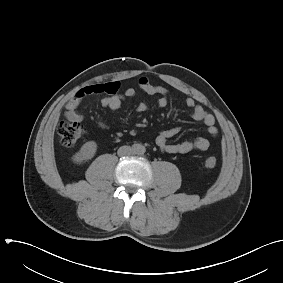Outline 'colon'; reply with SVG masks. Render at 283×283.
I'll list each match as a JSON object with an SVG mask.
<instances>
[{
    "instance_id": "1",
    "label": "colon",
    "mask_w": 283,
    "mask_h": 283,
    "mask_svg": "<svg viewBox=\"0 0 283 283\" xmlns=\"http://www.w3.org/2000/svg\"><path fill=\"white\" fill-rule=\"evenodd\" d=\"M57 131L61 144L66 148H72L84 134V127L79 122H61ZM203 164L206 168L213 169L217 166V159L212 156L206 157Z\"/></svg>"
}]
</instances>
